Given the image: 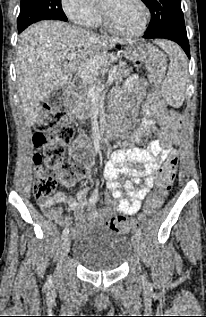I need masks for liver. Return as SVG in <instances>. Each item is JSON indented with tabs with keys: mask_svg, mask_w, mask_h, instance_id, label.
<instances>
[{
	"mask_svg": "<svg viewBox=\"0 0 206 317\" xmlns=\"http://www.w3.org/2000/svg\"><path fill=\"white\" fill-rule=\"evenodd\" d=\"M131 41L100 36L61 21H42L23 31L16 47L18 93L26 122L33 126L40 103L54 90L70 84L75 71L85 78L83 66L104 64L103 47ZM70 52L77 57L66 61Z\"/></svg>",
	"mask_w": 206,
	"mask_h": 317,
	"instance_id": "6515ba94",
	"label": "liver"
}]
</instances>
